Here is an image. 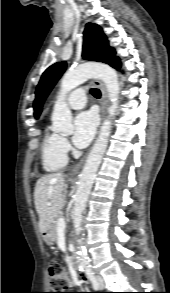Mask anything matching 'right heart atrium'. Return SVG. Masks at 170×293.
Segmentation results:
<instances>
[{"instance_id": "obj_1", "label": "right heart atrium", "mask_w": 170, "mask_h": 293, "mask_svg": "<svg viewBox=\"0 0 170 293\" xmlns=\"http://www.w3.org/2000/svg\"><path fill=\"white\" fill-rule=\"evenodd\" d=\"M61 147H62L64 152H68L69 144H68V141L65 138H61Z\"/></svg>"}]
</instances>
